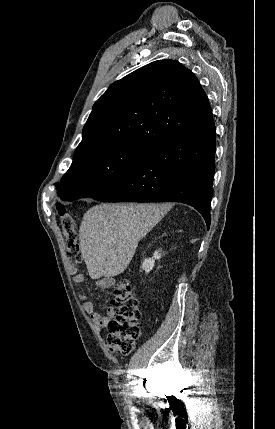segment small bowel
<instances>
[{
  "label": "small bowel",
  "mask_w": 275,
  "mask_h": 429,
  "mask_svg": "<svg viewBox=\"0 0 275 429\" xmlns=\"http://www.w3.org/2000/svg\"><path fill=\"white\" fill-rule=\"evenodd\" d=\"M73 273V281L75 284H82L84 282V275L81 273H77L75 269H72ZM96 283L98 287L105 291H110V283L104 279H97ZM83 310L90 315L92 322L98 327H106L111 322L112 318L115 315V309L113 307H109L106 315H101L99 312L95 310L94 303L90 300H85L83 305Z\"/></svg>",
  "instance_id": "obj_1"
}]
</instances>
